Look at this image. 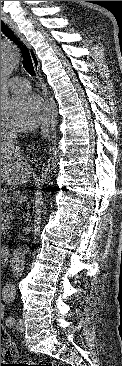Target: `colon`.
I'll use <instances>...</instances> for the list:
<instances>
[{
  "label": "colon",
  "mask_w": 122,
  "mask_h": 366,
  "mask_svg": "<svg viewBox=\"0 0 122 366\" xmlns=\"http://www.w3.org/2000/svg\"><path fill=\"white\" fill-rule=\"evenodd\" d=\"M17 357L16 350L9 341L7 333L1 328V359L15 360ZM11 366H54L49 363L36 365L34 362H24L20 364H11Z\"/></svg>",
  "instance_id": "5ec220e1"
}]
</instances>
